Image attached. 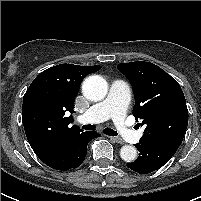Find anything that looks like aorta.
Returning <instances> with one entry per match:
<instances>
[{
  "mask_svg": "<svg viewBox=\"0 0 201 201\" xmlns=\"http://www.w3.org/2000/svg\"><path fill=\"white\" fill-rule=\"evenodd\" d=\"M82 92L87 99L97 102L107 95L108 85L103 77L92 75L83 82ZM120 156L125 162H132L137 157V150L134 146L124 145L120 150Z\"/></svg>",
  "mask_w": 201,
  "mask_h": 201,
  "instance_id": "1",
  "label": "aorta"
}]
</instances>
